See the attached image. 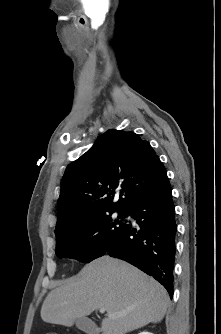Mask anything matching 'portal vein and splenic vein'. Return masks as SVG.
Returning a JSON list of instances; mask_svg holds the SVG:
<instances>
[{
	"instance_id": "obj_1",
	"label": "portal vein and splenic vein",
	"mask_w": 221,
	"mask_h": 334,
	"mask_svg": "<svg viewBox=\"0 0 221 334\" xmlns=\"http://www.w3.org/2000/svg\"><path fill=\"white\" fill-rule=\"evenodd\" d=\"M99 311H100V313H104V312H105V309H104V308H101ZM110 316H114V314H110Z\"/></svg>"
}]
</instances>
